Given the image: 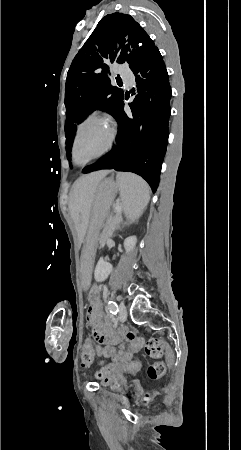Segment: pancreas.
I'll return each instance as SVG.
<instances>
[{
    "label": "pancreas",
    "mask_w": 241,
    "mask_h": 450,
    "mask_svg": "<svg viewBox=\"0 0 241 450\" xmlns=\"http://www.w3.org/2000/svg\"><path fill=\"white\" fill-rule=\"evenodd\" d=\"M118 220H120L118 214H112V216H109L108 220H107V227H106V232H113V224H115V222H118ZM106 232H101V236L98 237V244L95 246L96 250H100L101 246H104V244H109L111 242V237L109 235H106Z\"/></svg>",
    "instance_id": "obj_1"
}]
</instances>
